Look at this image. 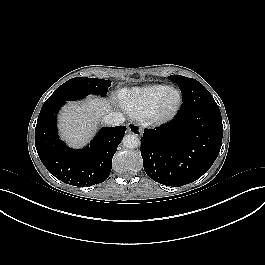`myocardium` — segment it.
Segmentation results:
<instances>
[{
	"mask_svg": "<svg viewBox=\"0 0 265 265\" xmlns=\"http://www.w3.org/2000/svg\"><path fill=\"white\" fill-rule=\"evenodd\" d=\"M171 93L177 95L175 104L171 107L166 106L168 96ZM183 103L182 92L173 87H169L164 94H162L152 106L148 116L145 118L148 125L162 126L171 122L179 113Z\"/></svg>",
	"mask_w": 265,
	"mask_h": 265,
	"instance_id": "1",
	"label": "myocardium"
}]
</instances>
